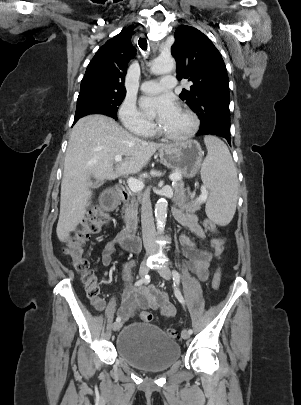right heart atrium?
Here are the masks:
<instances>
[{
    "label": "right heart atrium",
    "mask_w": 301,
    "mask_h": 405,
    "mask_svg": "<svg viewBox=\"0 0 301 405\" xmlns=\"http://www.w3.org/2000/svg\"><path fill=\"white\" fill-rule=\"evenodd\" d=\"M118 116L123 126L133 134L146 136L153 129L152 122L146 119L135 104L129 100H125L121 104Z\"/></svg>",
    "instance_id": "right-heart-atrium-1"
}]
</instances>
